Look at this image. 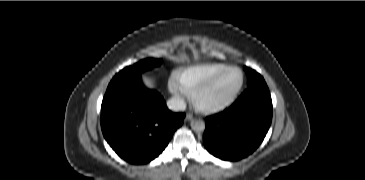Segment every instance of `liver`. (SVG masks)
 <instances>
[{"mask_svg": "<svg viewBox=\"0 0 365 180\" xmlns=\"http://www.w3.org/2000/svg\"><path fill=\"white\" fill-rule=\"evenodd\" d=\"M144 83L146 84L147 87H153V80L147 77H144Z\"/></svg>", "mask_w": 365, "mask_h": 180, "instance_id": "liver-1", "label": "liver"}]
</instances>
